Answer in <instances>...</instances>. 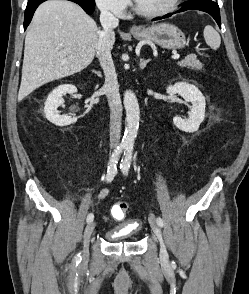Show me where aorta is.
<instances>
[{
	"label": "aorta",
	"mask_w": 249,
	"mask_h": 294,
	"mask_svg": "<svg viewBox=\"0 0 249 294\" xmlns=\"http://www.w3.org/2000/svg\"><path fill=\"white\" fill-rule=\"evenodd\" d=\"M123 102L126 110V118L122 144L124 147L131 148L134 145L138 133L140 109L137 97L131 90L125 91Z\"/></svg>",
	"instance_id": "obj_1"
}]
</instances>
